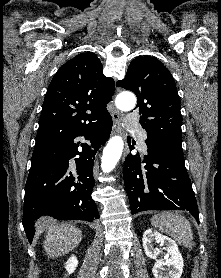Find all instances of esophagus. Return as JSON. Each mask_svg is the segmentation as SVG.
Instances as JSON below:
<instances>
[{
    "label": "esophagus",
    "mask_w": 221,
    "mask_h": 278,
    "mask_svg": "<svg viewBox=\"0 0 221 278\" xmlns=\"http://www.w3.org/2000/svg\"><path fill=\"white\" fill-rule=\"evenodd\" d=\"M112 119H113L112 134H122L121 113L119 110L114 109L112 111Z\"/></svg>",
    "instance_id": "obj_1"
}]
</instances>
